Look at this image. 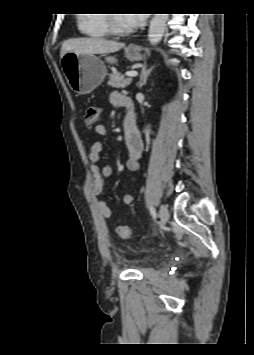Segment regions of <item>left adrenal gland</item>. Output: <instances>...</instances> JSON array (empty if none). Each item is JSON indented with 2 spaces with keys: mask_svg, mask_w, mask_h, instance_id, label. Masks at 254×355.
I'll return each mask as SVG.
<instances>
[{
  "mask_svg": "<svg viewBox=\"0 0 254 355\" xmlns=\"http://www.w3.org/2000/svg\"><path fill=\"white\" fill-rule=\"evenodd\" d=\"M154 68V66H152L150 69H147V65H145L141 71V77H140V81H139V88H142L146 82H147V78L150 75L152 69Z\"/></svg>",
  "mask_w": 254,
  "mask_h": 355,
  "instance_id": "a2214340",
  "label": "left adrenal gland"
}]
</instances>
